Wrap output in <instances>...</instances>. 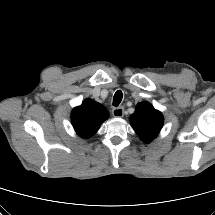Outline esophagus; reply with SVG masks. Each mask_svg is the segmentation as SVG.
I'll return each mask as SVG.
<instances>
[{"mask_svg": "<svg viewBox=\"0 0 215 215\" xmlns=\"http://www.w3.org/2000/svg\"><path fill=\"white\" fill-rule=\"evenodd\" d=\"M112 114H113L114 117H123V115H124V108L123 107L113 108Z\"/></svg>", "mask_w": 215, "mask_h": 215, "instance_id": "1", "label": "esophagus"}]
</instances>
